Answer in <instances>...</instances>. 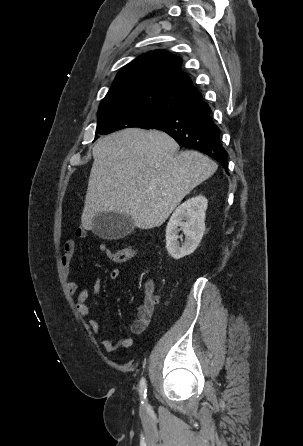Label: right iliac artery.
Wrapping results in <instances>:
<instances>
[{
  "label": "right iliac artery",
  "mask_w": 303,
  "mask_h": 446,
  "mask_svg": "<svg viewBox=\"0 0 303 446\" xmlns=\"http://www.w3.org/2000/svg\"><path fill=\"white\" fill-rule=\"evenodd\" d=\"M140 395L141 398L143 400H146V396H147V384H146V380L144 378L141 379L140 381ZM143 403V402H142Z\"/></svg>",
  "instance_id": "82829eb1"
}]
</instances>
